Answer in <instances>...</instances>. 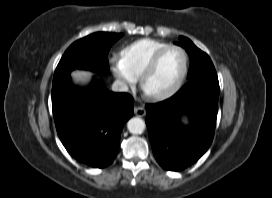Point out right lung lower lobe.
Masks as SVG:
<instances>
[{
	"instance_id": "obj_1",
	"label": "right lung lower lobe",
	"mask_w": 272,
	"mask_h": 198,
	"mask_svg": "<svg viewBox=\"0 0 272 198\" xmlns=\"http://www.w3.org/2000/svg\"><path fill=\"white\" fill-rule=\"evenodd\" d=\"M133 98L108 91L94 76L91 87L79 89L70 76L52 86V109L58 136L78 161L95 168L111 164L122 128L133 114Z\"/></svg>"
}]
</instances>
